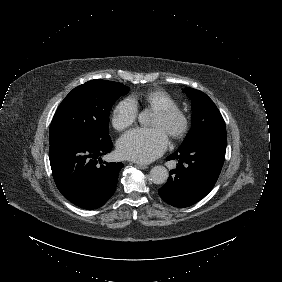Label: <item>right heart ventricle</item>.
Wrapping results in <instances>:
<instances>
[{
    "mask_svg": "<svg viewBox=\"0 0 282 282\" xmlns=\"http://www.w3.org/2000/svg\"><path fill=\"white\" fill-rule=\"evenodd\" d=\"M143 100L146 106L153 111H157L162 108H177V104L174 99L169 94L161 90H155L143 95ZM138 101V96H133L128 100L134 108H137Z\"/></svg>",
    "mask_w": 282,
    "mask_h": 282,
    "instance_id": "e07e8e85",
    "label": "right heart ventricle"
}]
</instances>
